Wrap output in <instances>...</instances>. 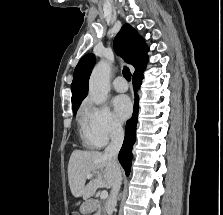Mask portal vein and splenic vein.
<instances>
[{"label": "portal vein and splenic vein", "instance_id": "obj_1", "mask_svg": "<svg viewBox=\"0 0 223 215\" xmlns=\"http://www.w3.org/2000/svg\"><path fill=\"white\" fill-rule=\"evenodd\" d=\"M94 173H88L87 177L89 179V177H93ZM101 199H106V197H108V191H101V195H100Z\"/></svg>", "mask_w": 223, "mask_h": 215}]
</instances>
